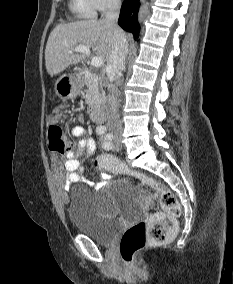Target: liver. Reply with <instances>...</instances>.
<instances>
[{"label": "liver", "mask_w": 233, "mask_h": 284, "mask_svg": "<svg viewBox=\"0 0 233 284\" xmlns=\"http://www.w3.org/2000/svg\"><path fill=\"white\" fill-rule=\"evenodd\" d=\"M114 42V30L110 23L102 20H84L57 25L50 33L46 49L47 72L53 76L69 65L79 63L85 54L69 51L78 45L92 49L97 57L108 62Z\"/></svg>", "instance_id": "obj_1"}]
</instances>
